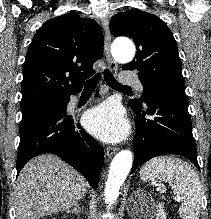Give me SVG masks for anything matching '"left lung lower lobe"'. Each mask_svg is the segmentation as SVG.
Listing matches in <instances>:
<instances>
[{
  "instance_id": "obj_1",
  "label": "left lung lower lobe",
  "mask_w": 211,
  "mask_h": 219,
  "mask_svg": "<svg viewBox=\"0 0 211 219\" xmlns=\"http://www.w3.org/2000/svg\"><path fill=\"white\" fill-rule=\"evenodd\" d=\"M147 105L132 106L138 114L134 139V163L131 173L149 159L166 154L181 155L199 169L197 150L188 115V100L183 89L163 88L144 94ZM146 115L152 116L146 118Z\"/></svg>"
}]
</instances>
